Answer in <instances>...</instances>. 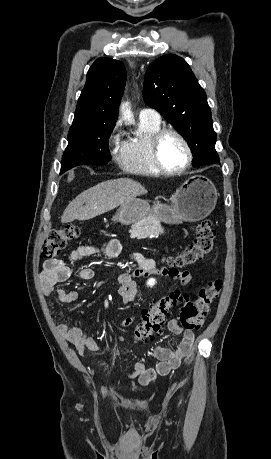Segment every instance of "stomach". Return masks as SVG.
Listing matches in <instances>:
<instances>
[{"label":"stomach","mask_w":271,"mask_h":459,"mask_svg":"<svg viewBox=\"0 0 271 459\" xmlns=\"http://www.w3.org/2000/svg\"><path fill=\"white\" fill-rule=\"evenodd\" d=\"M218 194L206 176H193L177 188L171 198V206L156 204L150 208L147 200H129L120 206L115 220L129 226L154 214L157 220L165 224H182V222H199L213 212Z\"/></svg>","instance_id":"0dacf381"}]
</instances>
